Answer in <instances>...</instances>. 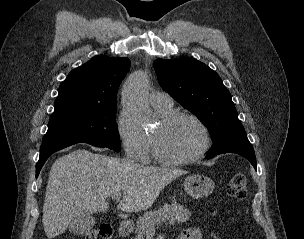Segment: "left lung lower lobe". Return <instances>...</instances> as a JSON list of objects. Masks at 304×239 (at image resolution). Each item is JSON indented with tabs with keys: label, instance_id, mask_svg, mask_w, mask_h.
Instances as JSON below:
<instances>
[{
	"label": "left lung lower lobe",
	"instance_id": "1",
	"mask_svg": "<svg viewBox=\"0 0 304 239\" xmlns=\"http://www.w3.org/2000/svg\"><path fill=\"white\" fill-rule=\"evenodd\" d=\"M231 153H236L239 154L243 157H245L246 159H248L251 164L254 166L255 169H257V162H256V157H255V153H247V152H231ZM215 155H207V159H210L212 157H214Z\"/></svg>",
	"mask_w": 304,
	"mask_h": 239
}]
</instances>
